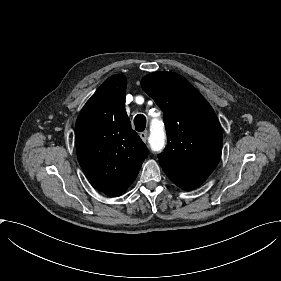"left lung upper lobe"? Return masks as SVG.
I'll list each match as a JSON object with an SVG mask.
<instances>
[{
	"label": "left lung upper lobe",
	"instance_id": "left-lung-upper-lobe-1",
	"mask_svg": "<svg viewBox=\"0 0 281 281\" xmlns=\"http://www.w3.org/2000/svg\"><path fill=\"white\" fill-rule=\"evenodd\" d=\"M143 90L164 114L167 147L159 163L191 172L211 173L222 152V130L204 97L182 76L166 71L146 75Z\"/></svg>",
	"mask_w": 281,
	"mask_h": 281
}]
</instances>
